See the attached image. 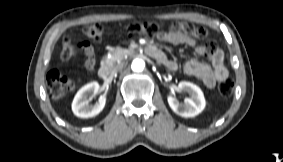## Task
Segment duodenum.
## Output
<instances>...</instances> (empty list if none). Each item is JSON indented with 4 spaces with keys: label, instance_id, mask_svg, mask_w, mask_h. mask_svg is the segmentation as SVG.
<instances>
[{
    "label": "duodenum",
    "instance_id": "duodenum-1",
    "mask_svg": "<svg viewBox=\"0 0 283 162\" xmlns=\"http://www.w3.org/2000/svg\"><path fill=\"white\" fill-rule=\"evenodd\" d=\"M146 52L153 58L157 60H162L164 58V54L160 51L156 46L148 45L146 46ZM99 77L104 79L109 75V70L106 67H102L99 69Z\"/></svg>",
    "mask_w": 283,
    "mask_h": 162
}]
</instances>
